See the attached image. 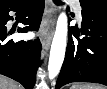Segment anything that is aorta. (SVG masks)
Here are the masks:
<instances>
[{
  "mask_svg": "<svg viewBox=\"0 0 107 89\" xmlns=\"http://www.w3.org/2000/svg\"><path fill=\"white\" fill-rule=\"evenodd\" d=\"M67 21V15L62 12L57 19L56 30L50 50L48 63V76L50 79L58 75L64 61L68 31Z\"/></svg>",
  "mask_w": 107,
  "mask_h": 89,
  "instance_id": "aorta-1",
  "label": "aorta"
}]
</instances>
